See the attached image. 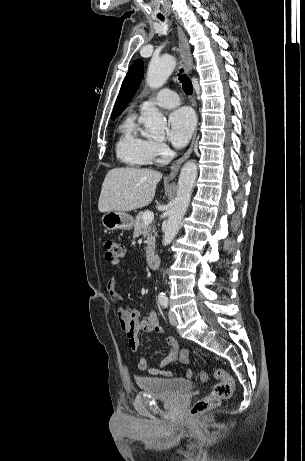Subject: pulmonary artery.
<instances>
[{"label":"pulmonary artery","mask_w":305,"mask_h":461,"mask_svg":"<svg viewBox=\"0 0 305 461\" xmlns=\"http://www.w3.org/2000/svg\"><path fill=\"white\" fill-rule=\"evenodd\" d=\"M141 104L142 106L158 105L163 108H174L180 104V99L176 92L171 89L164 88L158 91L155 95L142 101Z\"/></svg>","instance_id":"pulmonary-artery-1"}]
</instances>
